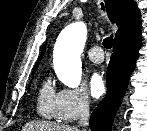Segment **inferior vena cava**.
I'll list each match as a JSON object with an SVG mask.
<instances>
[{"instance_id": "inferior-vena-cava-1", "label": "inferior vena cava", "mask_w": 147, "mask_h": 131, "mask_svg": "<svg viewBox=\"0 0 147 131\" xmlns=\"http://www.w3.org/2000/svg\"><path fill=\"white\" fill-rule=\"evenodd\" d=\"M78 117V126L83 127V131H86V128L89 125V103L87 100L82 101L79 105Z\"/></svg>"}]
</instances>
